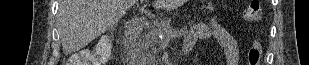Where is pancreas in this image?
Masks as SVG:
<instances>
[{"mask_svg": "<svg viewBox=\"0 0 309 65\" xmlns=\"http://www.w3.org/2000/svg\"><path fill=\"white\" fill-rule=\"evenodd\" d=\"M171 30L168 20H155L149 23L147 31L138 37L134 44L133 55L140 61L154 59L159 52L161 43L159 34H166Z\"/></svg>", "mask_w": 309, "mask_h": 65, "instance_id": "1", "label": "pancreas"}]
</instances>
